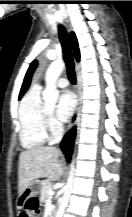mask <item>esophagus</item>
<instances>
[{
  "instance_id": "1",
  "label": "esophagus",
  "mask_w": 132,
  "mask_h": 217,
  "mask_svg": "<svg viewBox=\"0 0 132 217\" xmlns=\"http://www.w3.org/2000/svg\"><path fill=\"white\" fill-rule=\"evenodd\" d=\"M76 77H77V82H76V93H77V107L76 110L70 120L69 126H68V130L72 129L75 124L77 123L78 119H79V115H80V109H81V102H82V98H81V85H80V77H79V72H78V68H77V63H76Z\"/></svg>"
}]
</instances>
